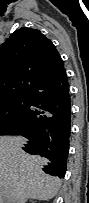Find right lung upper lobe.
Segmentation results:
<instances>
[{"instance_id": "obj_1", "label": "right lung upper lobe", "mask_w": 89, "mask_h": 203, "mask_svg": "<svg viewBox=\"0 0 89 203\" xmlns=\"http://www.w3.org/2000/svg\"><path fill=\"white\" fill-rule=\"evenodd\" d=\"M63 60L39 30L22 27L0 46V104L27 96Z\"/></svg>"}]
</instances>
